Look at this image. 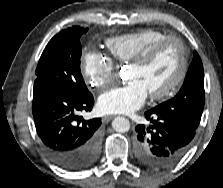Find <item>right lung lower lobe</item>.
<instances>
[{
  "label": "right lung lower lobe",
  "instance_id": "1",
  "mask_svg": "<svg viewBox=\"0 0 223 188\" xmlns=\"http://www.w3.org/2000/svg\"><path fill=\"white\" fill-rule=\"evenodd\" d=\"M92 94L78 97L68 92L34 86L33 117L42 146L50 159L67 171L91 166L101 150V119L83 120L81 111H91Z\"/></svg>",
  "mask_w": 223,
  "mask_h": 188
}]
</instances>
